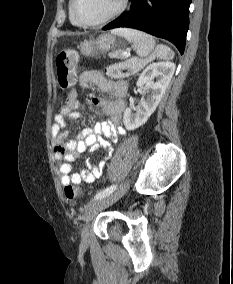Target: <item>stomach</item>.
I'll list each match as a JSON object with an SVG mask.
<instances>
[{
  "instance_id": "0dacf381",
  "label": "stomach",
  "mask_w": 233,
  "mask_h": 284,
  "mask_svg": "<svg viewBox=\"0 0 233 284\" xmlns=\"http://www.w3.org/2000/svg\"><path fill=\"white\" fill-rule=\"evenodd\" d=\"M115 36L110 33L99 35L96 39L85 40L79 46L82 55L86 57L94 56L98 52H108L116 49ZM122 50V49H119Z\"/></svg>"
}]
</instances>
